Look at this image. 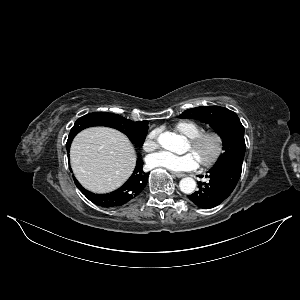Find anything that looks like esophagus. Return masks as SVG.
Here are the masks:
<instances>
[{"mask_svg":"<svg viewBox=\"0 0 300 300\" xmlns=\"http://www.w3.org/2000/svg\"><path fill=\"white\" fill-rule=\"evenodd\" d=\"M172 175L177 178H182L185 176V174H183V173H176V172H173Z\"/></svg>","mask_w":300,"mask_h":300,"instance_id":"obj_1","label":"esophagus"}]
</instances>
